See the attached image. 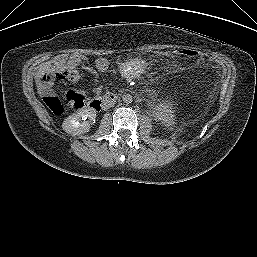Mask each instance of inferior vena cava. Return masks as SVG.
Wrapping results in <instances>:
<instances>
[{"instance_id":"602c4592","label":"inferior vena cava","mask_w":257,"mask_h":257,"mask_svg":"<svg viewBox=\"0 0 257 257\" xmlns=\"http://www.w3.org/2000/svg\"><path fill=\"white\" fill-rule=\"evenodd\" d=\"M114 105V102L112 101V102H107L106 104H105V109H108L109 107H112Z\"/></svg>"}]
</instances>
